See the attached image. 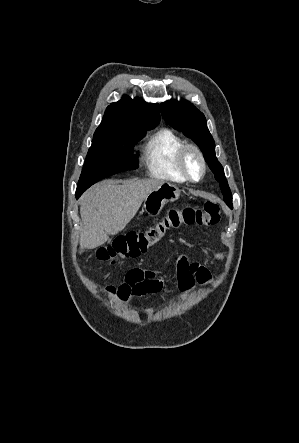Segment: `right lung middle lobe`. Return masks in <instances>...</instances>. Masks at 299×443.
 I'll list each match as a JSON object with an SVG mask.
<instances>
[{
	"instance_id": "right-lung-middle-lobe-1",
	"label": "right lung middle lobe",
	"mask_w": 299,
	"mask_h": 443,
	"mask_svg": "<svg viewBox=\"0 0 299 443\" xmlns=\"http://www.w3.org/2000/svg\"><path fill=\"white\" fill-rule=\"evenodd\" d=\"M157 125H145L137 130L118 131L94 136L79 179L76 194L83 193L97 181L113 174L138 167L133 156L135 144Z\"/></svg>"
}]
</instances>
